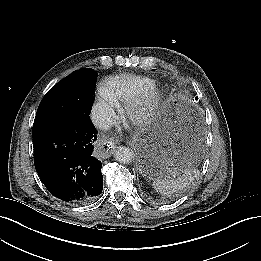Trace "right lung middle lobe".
<instances>
[{
    "label": "right lung middle lobe",
    "instance_id": "dd1d6c3e",
    "mask_svg": "<svg viewBox=\"0 0 261 261\" xmlns=\"http://www.w3.org/2000/svg\"><path fill=\"white\" fill-rule=\"evenodd\" d=\"M97 73L80 69L57 83L42 99L33 129L71 121L79 115H90L94 102Z\"/></svg>",
    "mask_w": 261,
    "mask_h": 261
}]
</instances>
